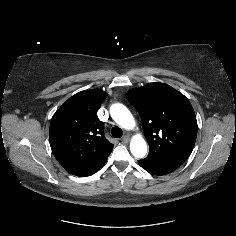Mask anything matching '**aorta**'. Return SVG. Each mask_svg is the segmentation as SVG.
<instances>
[{
  "label": "aorta",
  "mask_w": 236,
  "mask_h": 236,
  "mask_svg": "<svg viewBox=\"0 0 236 236\" xmlns=\"http://www.w3.org/2000/svg\"><path fill=\"white\" fill-rule=\"evenodd\" d=\"M112 119L125 129H132L135 120L128 108L120 103H115L110 107ZM130 151L136 158H143L147 153V144L141 135H135L130 142Z\"/></svg>",
  "instance_id": "1"
}]
</instances>
